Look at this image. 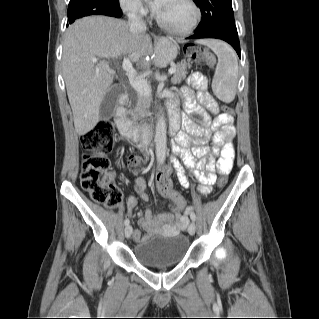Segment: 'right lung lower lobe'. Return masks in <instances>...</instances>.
I'll list each match as a JSON object with an SVG mask.
<instances>
[{"instance_id": "obj_1", "label": "right lung lower lobe", "mask_w": 319, "mask_h": 319, "mask_svg": "<svg viewBox=\"0 0 319 319\" xmlns=\"http://www.w3.org/2000/svg\"><path fill=\"white\" fill-rule=\"evenodd\" d=\"M106 16H112V17H117V18H119V17H121V15H122V11H121V9L119 10V11H116V12H114V13H111V14H105Z\"/></svg>"}]
</instances>
